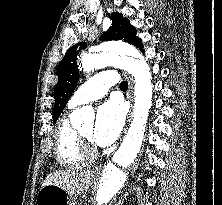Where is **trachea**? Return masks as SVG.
<instances>
[{
    "label": "trachea",
    "mask_w": 222,
    "mask_h": 205,
    "mask_svg": "<svg viewBox=\"0 0 222 205\" xmlns=\"http://www.w3.org/2000/svg\"><path fill=\"white\" fill-rule=\"evenodd\" d=\"M120 89L121 90H127L128 89V83L126 81H122L120 83Z\"/></svg>",
    "instance_id": "1"
}]
</instances>
